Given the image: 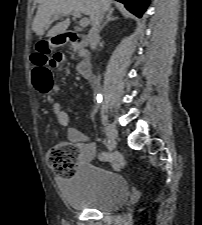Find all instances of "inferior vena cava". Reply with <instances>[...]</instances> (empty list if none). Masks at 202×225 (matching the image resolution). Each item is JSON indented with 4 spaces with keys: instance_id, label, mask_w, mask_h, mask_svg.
Masks as SVG:
<instances>
[{
    "instance_id": "obj_1",
    "label": "inferior vena cava",
    "mask_w": 202,
    "mask_h": 225,
    "mask_svg": "<svg viewBox=\"0 0 202 225\" xmlns=\"http://www.w3.org/2000/svg\"><path fill=\"white\" fill-rule=\"evenodd\" d=\"M103 15H104V9L102 7H99L97 10V14L96 17L92 23V28L89 31V42H90V47L91 49H95L97 42L99 40V28H100V23L103 19Z\"/></svg>"
}]
</instances>
